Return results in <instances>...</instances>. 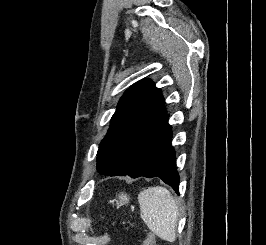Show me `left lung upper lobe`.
Listing matches in <instances>:
<instances>
[{
	"mask_svg": "<svg viewBox=\"0 0 266 245\" xmlns=\"http://www.w3.org/2000/svg\"><path fill=\"white\" fill-rule=\"evenodd\" d=\"M164 99L151 80L134 84L120 99L97 153L98 172L124 175L132 165L143 137L165 116Z\"/></svg>",
	"mask_w": 266,
	"mask_h": 245,
	"instance_id": "left-lung-upper-lobe-1",
	"label": "left lung upper lobe"
}]
</instances>
